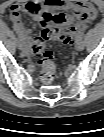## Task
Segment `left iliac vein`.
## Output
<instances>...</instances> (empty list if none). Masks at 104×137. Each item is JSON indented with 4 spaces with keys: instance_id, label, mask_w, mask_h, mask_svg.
Masks as SVG:
<instances>
[{
    "instance_id": "left-iliac-vein-1",
    "label": "left iliac vein",
    "mask_w": 104,
    "mask_h": 137,
    "mask_svg": "<svg viewBox=\"0 0 104 137\" xmlns=\"http://www.w3.org/2000/svg\"><path fill=\"white\" fill-rule=\"evenodd\" d=\"M84 49V43H83V41L81 40H78L77 42H76V50L77 51H82Z\"/></svg>"
}]
</instances>
